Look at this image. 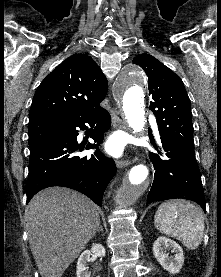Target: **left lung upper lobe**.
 Wrapping results in <instances>:
<instances>
[{"mask_svg":"<svg viewBox=\"0 0 221 277\" xmlns=\"http://www.w3.org/2000/svg\"><path fill=\"white\" fill-rule=\"evenodd\" d=\"M133 63L148 76L150 110L156 117L160 136L194 153L191 106L182 80L149 54L137 55Z\"/></svg>","mask_w":221,"mask_h":277,"instance_id":"5c2ea615","label":"left lung upper lobe"}]
</instances>
